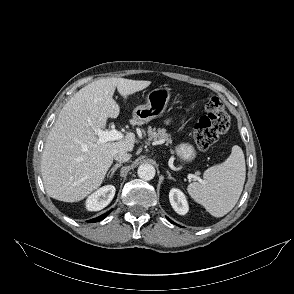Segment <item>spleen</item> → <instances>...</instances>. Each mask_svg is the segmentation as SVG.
Wrapping results in <instances>:
<instances>
[{
  "mask_svg": "<svg viewBox=\"0 0 294 294\" xmlns=\"http://www.w3.org/2000/svg\"><path fill=\"white\" fill-rule=\"evenodd\" d=\"M246 166L242 149L235 145L221 164L207 169L202 182L188 185L189 195L214 217H222L237 203L245 182Z\"/></svg>",
  "mask_w": 294,
  "mask_h": 294,
  "instance_id": "3e777b00",
  "label": "spleen"
}]
</instances>
